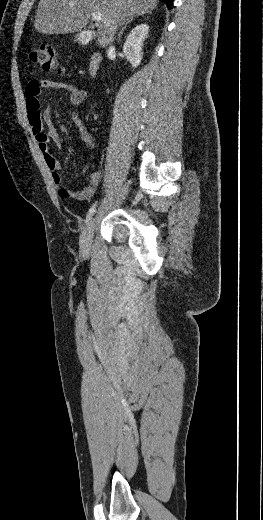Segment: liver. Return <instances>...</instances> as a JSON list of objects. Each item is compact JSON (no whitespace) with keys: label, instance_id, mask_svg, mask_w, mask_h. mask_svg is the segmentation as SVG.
Wrapping results in <instances>:
<instances>
[{"label":"liver","instance_id":"obj_1","mask_svg":"<svg viewBox=\"0 0 263 520\" xmlns=\"http://www.w3.org/2000/svg\"><path fill=\"white\" fill-rule=\"evenodd\" d=\"M157 4L158 0H40L34 24L46 35L77 33L86 27L93 12H99L102 18L97 37L105 47L113 40L118 25Z\"/></svg>","mask_w":263,"mask_h":520}]
</instances>
